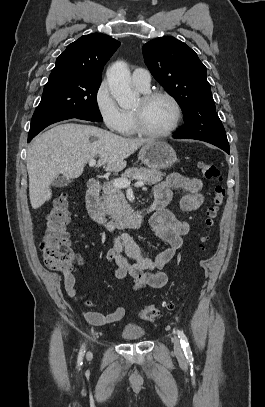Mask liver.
<instances>
[{
	"mask_svg": "<svg viewBox=\"0 0 265 407\" xmlns=\"http://www.w3.org/2000/svg\"><path fill=\"white\" fill-rule=\"evenodd\" d=\"M92 139V140H91ZM151 139H131L92 125H57L35 138L27 156L29 197L33 209L52 197L50 185L59 174L78 178L85 165L99 156L96 167L120 171L125 159Z\"/></svg>",
	"mask_w": 265,
	"mask_h": 407,
	"instance_id": "1",
	"label": "liver"
}]
</instances>
